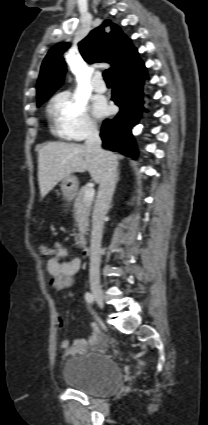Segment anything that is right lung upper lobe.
Returning a JSON list of instances; mask_svg holds the SVG:
<instances>
[{"instance_id":"cb5924a9","label":"right lung upper lobe","mask_w":208,"mask_h":425,"mask_svg":"<svg viewBox=\"0 0 208 425\" xmlns=\"http://www.w3.org/2000/svg\"><path fill=\"white\" fill-rule=\"evenodd\" d=\"M78 46L85 61L111 64V68L107 70L111 77L130 69L140 60L131 41L110 20H105L93 29ZM68 47V43L55 45L43 60L36 87L38 103L51 96L62 85L66 73L62 54Z\"/></svg>"}]
</instances>
